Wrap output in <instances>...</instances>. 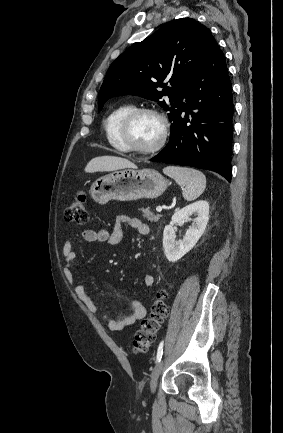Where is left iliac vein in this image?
<instances>
[{"instance_id": "obj_1", "label": "left iliac vein", "mask_w": 283, "mask_h": 433, "mask_svg": "<svg viewBox=\"0 0 283 433\" xmlns=\"http://www.w3.org/2000/svg\"><path fill=\"white\" fill-rule=\"evenodd\" d=\"M163 363H164V360H161L160 362H158L155 365V367L151 373L150 389L152 391L155 389L158 377L160 376V373L162 372Z\"/></svg>"}]
</instances>
